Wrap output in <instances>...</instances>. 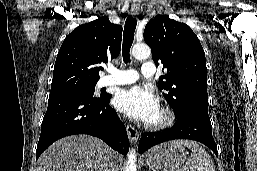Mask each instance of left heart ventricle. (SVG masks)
Here are the masks:
<instances>
[{
  "mask_svg": "<svg viewBox=\"0 0 257 171\" xmlns=\"http://www.w3.org/2000/svg\"><path fill=\"white\" fill-rule=\"evenodd\" d=\"M159 118H160V112L158 110L156 114L151 118L150 122L157 121Z\"/></svg>",
  "mask_w": 257,
  "mask_h": 171,
  "instance_id": "b2bd125f",
  "label": "left heart ventricle"
}]
</instances>
